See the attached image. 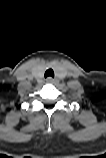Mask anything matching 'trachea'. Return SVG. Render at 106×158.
I'll use <instances>...</instances> for the list:
<instances>
[{
    "instance_id": "3493384b",
    "label": "trachea",
    "mask_w": 106,
    "mask_h": 158,
    "mask_svg": "<svg viewBox=\"0 0 106 158\" xmlns=\"http://www.w3.org/2000/svg\"><path fill=\"white\" fill-rule=\"evenodd\" d=\"M45 77H54V71L52 69H47L45 72Z\"/></svg>"
}]
</instances>
